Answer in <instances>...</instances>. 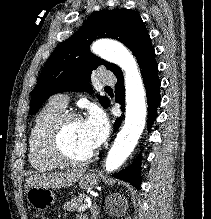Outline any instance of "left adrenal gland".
I'll use <instances>...</instances> for the list:
<instances>
[{"label": "left adrenal gland", "mask_w": 211, "mask_h": 219, "mask_svg": "<svg viewBox=\"0 0 211 219\" xmlns=\"http://www.w3.org/2000/svg\"><path fill=\"white\" fill-rule=\"evenodd\" d=\"M100 213V209L97 208L96 203L94 202L91 207V219H97L98 215Z\"/></svg>", "instance_id": "left-adrenal-gland-1"}]
</instances>
